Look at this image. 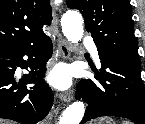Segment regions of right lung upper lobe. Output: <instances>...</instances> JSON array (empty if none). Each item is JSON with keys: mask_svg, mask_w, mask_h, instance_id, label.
<instances>
[{"mask_svg": "<svg viewBox=\"0 0 145 124\" xmlns=\"http://www.w3.org/2000/svg\"><path fill=\"white\" fill-rule=\"evenodd\" d=\"M51 21L49 0H0V50L40 41Z\"/></svg>", "mask_w": 145, "mask_h": 124, "instance_id": "right-lung-upper-lobe-1", "label": "right lung upper lobe"}]
</instances>
